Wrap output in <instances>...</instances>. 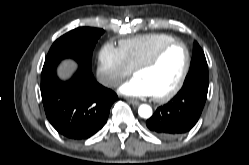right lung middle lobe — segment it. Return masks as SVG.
<instances>
[{
	"label": "right lung middle lobe",
	"mask_w": 249,
	"mask_h": 165,
	"mask_svg": "<svg viewBox=\"0 0 249 165\" xmlns=\"http://www.w3.org/2000/svg\"><path fill=\"white\" fill-rule=\"evenodd\" d=\"M104 30L79 27L58 38L51 46L45 62L73 58L79 65L92 73V52Z\"/></svg>",
	"instance_id": "obj_1"
}]
</instances>
